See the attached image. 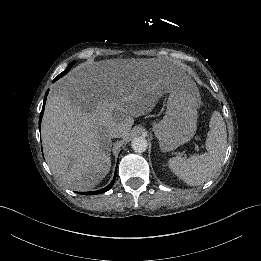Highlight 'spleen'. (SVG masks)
<instances>
[{"label": "spleen", "mask_w": 261, "mask_h": 261, "mask_svg": "<svg viewBox=\"0 0 261 261\" xmlns=\"http://www.w3.org/2000/svg\"><path fill=\"white\" fill-rule=\"evenodd\" d=\"M227 131L222 116L214 113L207 133V152L189 159L176 157L167 162L170 171L189 186H197L211 179L222 166L226 151Z\"/></svg>", "instance_id": "3e777b00"}]
</instances>
